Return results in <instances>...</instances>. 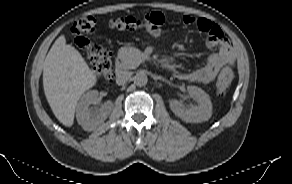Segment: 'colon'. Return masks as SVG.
Wrapping results in <instances>:
<instances>
[{
    "label": "colon",
    "instance_id": "1",
    "mask_svg": "<svg viewBox=\"0 0 292 184\" xmlns=\"http://www.w3.org/2000/svg\"><path fill=\"white\" fill-rule=\"evenodd\" d=\"M163 18L156 12L149 13L143 20L134 17H121L111 21L113 29L119 31L134 30L145 27L149 33L154 35L161 29ZM96 20L91 16L78 19L72 26V33L76 45L83 50L93 68L95 74L104 79L113 77V61L110 51L103 45L91 40V35L95 31ZM233 70L225 67L221 70L216 88L219 95L227 93L233 80Z\"/></svg>",
    "mask_w": 292,
    "mask_h": 184
}]
</instances>
